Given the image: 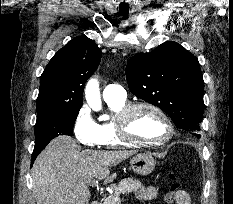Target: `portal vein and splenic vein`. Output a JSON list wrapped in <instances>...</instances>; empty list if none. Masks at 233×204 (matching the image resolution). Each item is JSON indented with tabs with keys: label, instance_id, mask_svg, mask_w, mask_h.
<instances>
[{
	"label": "portal vein and splenic vein",
	"instance_id": "obj_1",
	"mask_svg": "<svg viewBox=\"0 0 233 204\" xmlns=\"http://www.w3.org/2000/svg\"><path fill=\"white\" fill-rule=\"evenodd\" d=\"M96 184V181H92L91 183H90V186H94Z\"/></svg>",
	"mask_w": 233,
	"mask_h": 204
}]
</instances>
